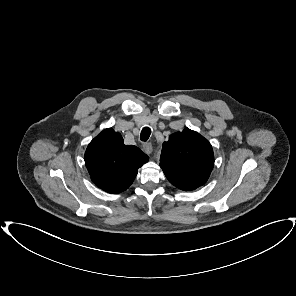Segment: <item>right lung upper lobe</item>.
Returning <instances> with one entry per match:
<instances>
[{
	"label": "right lung upper lobe",
	"mask_w": 296,
	"mask_h": 296,
	"mask_svg": "<svg viewBox=\"0 0 296 296\" xmlns=\"http://www.w3.org/2000/svg\"><path fill=\"white\" fill-rule=\"evenodd\" d=\"M149 157L138 147L125 145L120 133L103 130L88 145L85 164L92 181L108 193H120L134 181Z\"/></svg>",
	"instance_id": "obj_1"
}]
</instances>
